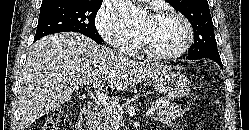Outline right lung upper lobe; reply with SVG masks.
<instances>
[{"label": "right lung upper lobe", "mask_w": 249, "mask_h": 130, "mask_svg": "<svg viewBox=\"0 0 249 130\" xmlns=\"http://www.w3.org/2000/svg\"><path fill=\"white\" fill-rule=\"evenodd\" d=\"M56 1H61V0H43V1H42V5H46V4H49V3H53V2H56ZM87 1H89V0H87ZM92 1L102 2V0H92Z\"/></svg>", "instance_id": "obj_1"}]
</instances>
